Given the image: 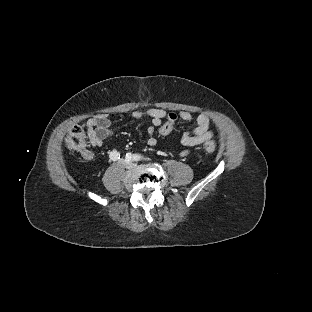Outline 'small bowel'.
Wrapping results in <instances>:
<instances>
[{
  "label": "small bowel",
  "mask_w": 312,
  "mask_h": 312,
  "mask_svg": "<svg viewBox=\"0 0 312 312\" xmlns=\"http://www.w3.org/2000/svg\"><path fill=\"white\" fill-rule=\"evenodd\" d=\"M133 119L149 118L150 124L146 130L145 142L148 146H155L157 139L154 132L155 125L160 121L167 122L172 128V123L175 120L171 119L165 109L162 108H149L145 110H137L131 113ZM175 117V116H174ZM178 117L184 122H192L194 120L193 114L188 110H181L178 112ZM196 128L193 132L184 133L180 136L181 143L186 147H194L204 144L208 140H212L213 133L210 130V118L204 113H200L195 118ZM87 128L88 139L90 148H86L81 152V156L85 160H91L94 156L93 149L100 146L105 139L110 137L113 133L111 129V122L107 115L98 114L89 118L85 122ZM188 154L187 150L180 153L181 156Z\"/></svg>",
  "instance_id": "small-bowel-1"
}]
</instances>
